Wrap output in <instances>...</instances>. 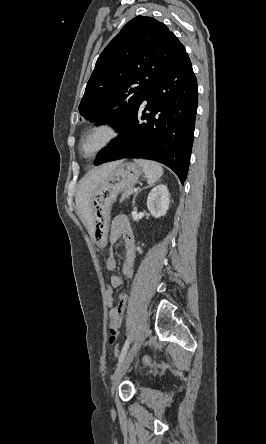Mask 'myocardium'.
I'll return each instance as SVG.
<instances>
[{"mask_svg":"<svg viewBox=\"0 0 266 444\" xmlns=\"http://www.w3.org/2000/svg\"><path fill=\"white\" fill-rule=\"evenodd\" d=\"M96 134L103 135L102 142L93 152L87 153L85 151V142L89 137ZM119 135L120 129L115 121L111 119L99 120L88 127L82 134L79 140V152L83 156H95L111 146L119 137Z\"/></svg>","mask_w":266,"mask_h":444,"instance_id":"1","label":"myocardium"}]
</instances>
